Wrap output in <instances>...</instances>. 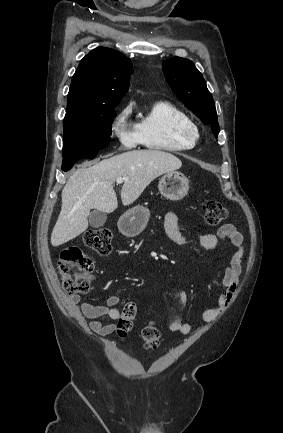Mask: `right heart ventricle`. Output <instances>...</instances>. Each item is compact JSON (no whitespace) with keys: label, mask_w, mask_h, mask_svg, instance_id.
Segmentation results:
<instances>
[{"label":"right heart ventricle","mask_w":283,"mask_h":433,"mask_svg":"<svg viewBox=\"0 0 283 433\" xmlns=\"http://www.w3.org/2000/svg\"><path fill=\"white\" fill-rule=\"evenodd\" d=\"M191 117L169 102H156L141 116L137 128L144 144L155 150L178 152L189 149L177 139L180 123L190 122Z\"/></svg>","instance_id":"obj_1"}]
</instances>
